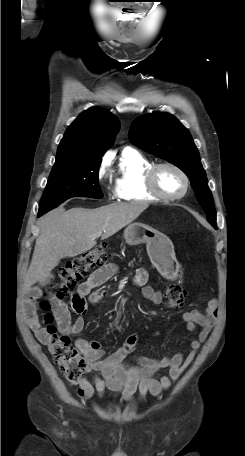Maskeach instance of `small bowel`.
Listing matches in <instances>:
<instances>
[{"instance_id":"obj_1","label":"small bowel","mask_w":245,"mask_h":456,"mask_svg":"<svg viewBox=\"0 0 245 456\" xmlns=\"http://www.w3.org/2000/svg\"><path fill=\"white\" fill-rule=\"evenodd\" d=\"M118 270L114 263H108L103 267L94 270L86 281L81 283L72 294L71 306L77 318L71 321L68 306L61 303L56 309L59 330L66 335L80 334L84 327L83 315L87 308V299L90 303L96 304L105 296L104 290H95L112 278ZM148 272L144 268L137 270L134 276V283L142 287L141 294L146 300L154 304L163 301V293L147 284ZM41 295V287L32 288L26 300L24 317L29 327L35 333L42 344H49L50 335L41 326L37 311L36 301ZM218 314V301L211 299L205 310H192L183 313L182 319L190 332L196 331L200 326L198 338L190 342L191 351L184 355L178 352L174 355L161 359L136 357L133 363L127 361L128 357L135 351L138 343V335L130 334L124 341L122 347L109 356L104 357V350L99 342L79 337L75 341L77 349L91 363L93 369L100 375H94L91 380L82 379L79 382L78 394L82 398H91L95 394L103 397L107 390L123 396L126 400H142L148 394L159 396L163 391L171 387L172 381L177 380L182 372L191 364L196 352L206 341L211 332ZM161 369H167L168 373L156 379L154 375Z\"/></svg>"}]
</instances>
